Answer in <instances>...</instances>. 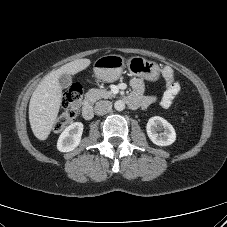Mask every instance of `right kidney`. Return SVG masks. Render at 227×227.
<instances>
[{"label": "right kidney", "instance_id": "obj_1", "mask_svg": "<svg viewBox=\"0 0 227 227\" xmlns=\"http://www.w3.org/2000/svg\"><path fill=\"white\" fill-rule=\"evenodd\" d=\"M84 126L81 122H75L69 125L61 133L57 141V149L60 152H69L74 150L81 141Z\"/></svg>", "mask_w": 227, "mask_h": 227}]
</instances>
